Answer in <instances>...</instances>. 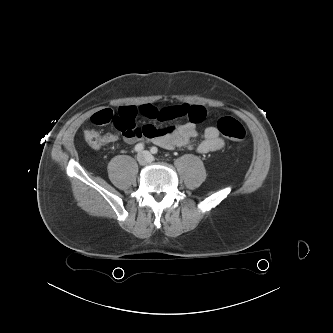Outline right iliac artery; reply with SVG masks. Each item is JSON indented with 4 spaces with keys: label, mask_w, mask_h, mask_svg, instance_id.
I'll use <instances>...</instances> for the list:
<instances>
[{
    "label": "right iliac artery",
    "mask_w": 333,
    "mask_h": 333,
    "mask_svg": "<svg viewBox=\"0 0 333 333\" xmlns=\"http://www.w3.org/2000/svg\"><path fill=\"white\" fill-rule=\"evenodd\" d=\"M144 149V145L142 143H138L135 145L134 150L136 152H141Z\"/></svg>",
    "instance_id": "82829eb1"
}]
</instances>
